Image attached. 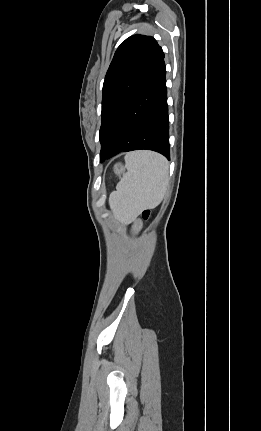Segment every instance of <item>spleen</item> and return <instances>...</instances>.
Here are the masks:
<instances>
[{
    "instance_id": "1",
    "label": "spleen",
    "mask_w": 261,
    "mask_h": 431,
    "mask_svg": "<svg viewBox=\"0 0 261 431\" xmlns=\"http://www.w3.org/2000/svg\"><path fill=\"white\" fill-rule=\"evenodd\" d=\"M127 172L110 196L113 212L120 217H136L157 207L168 187V162L160 154L137 151L125 156Z\"/></svg>"
}]
</instances>
